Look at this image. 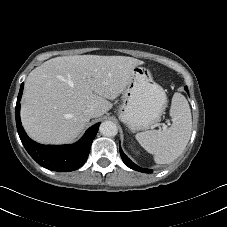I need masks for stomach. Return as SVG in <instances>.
Returning a JSON list of instances; mask_svg holds the SVG:
<instances>
[{
    "mask_svg": "<svg viewBox=\"0 0 227 227\" xmlns=\"http://www.w3.org/2000/svg\"><path fill=\"white\" fill-rule=\"evenodd\" d=\"M166 105V93L154 82L150 70L137 66L122 93L118 116L132 132L144 131L160 120Z\"/></svg>",
    "mask_w": 227,
    "mask_h": 227,
    "instance_id": "1",
    "label": "stomach"
}]
</instances>
